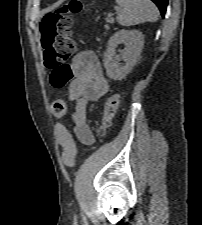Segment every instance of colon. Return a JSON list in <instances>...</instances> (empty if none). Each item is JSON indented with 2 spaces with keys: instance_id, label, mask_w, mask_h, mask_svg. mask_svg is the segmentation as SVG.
I'll list each match as a JSON object with an SVG mask.
<instances>
[{
  "instance_id": "obj_1",
  "label": "colon",
  "mask_w": 202,
  "mask_h": 225,
  "mask_svg": "<svg viewBox=\"0 0 202 225\" xmlns=\"http://www.w3.org/2000/svg\"><path fill=\"white\" fill-rule=\"evenodd\" d=\"M79 0H71L69 4L61 6L53 13L43 17L40 23L41 43L43 46V63L49 71V80L56 88L64 87L72 78L68 60L74 51V42L71 38L73 28L72 17L79 13ZM118 94L110 95L104 106V115L99 129V136L104 137L110 127L119 106ZM52 113L55 116H64L66 102L57 99L52 102ZM62 159L66 166L74 164L77 150L72 137L63 135Z\"/></svg>"
}]
</instances>
